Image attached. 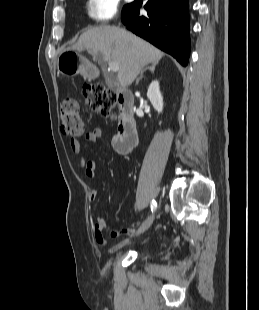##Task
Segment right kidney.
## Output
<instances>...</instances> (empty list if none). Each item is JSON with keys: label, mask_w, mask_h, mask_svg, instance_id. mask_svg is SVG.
I'll return each mask as SVG.
<instances>
[{"label": "right kidney", "mask_w": 259, "mask_h": 310, "mask_svg": "<svg viewBox=\"0 0 259 310\" xmlns=\"http://www.w3.org/2000/svg\"><path fill=\"white\" fill-rule=\"evenodd\" d=\"M147 97L153 105L154 109L161 113L163 110V97L160 92L158 81H153L147 91Z\"/></svg>", "instance_id": "1"}]
</instances>
